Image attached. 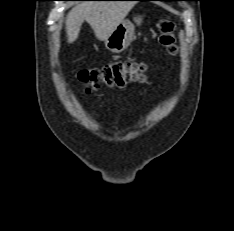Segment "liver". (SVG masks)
<instances>
[{"instance_id": "obj_1", "label": "liver", "mask_w": 234, "mask_h": 231, "mask_svg": "<svg viewBox=\"0 0 234 231\" xmlns=\"http://www.w3.org/2000/svg\"><path fill=\"white\" fill-rule=\"evenodd\" d=\"M134 5L132 1H91L77 4L68 12L65 21L68 42L76 41L84 21L91 26L98 40L105 41Z\"/></svg>"}]
</instances>
